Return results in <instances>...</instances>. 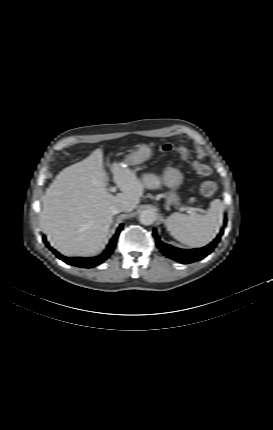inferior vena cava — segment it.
I'll use <instances>...</instances> for the list:
<instances>
[{"label":"inferior vena cava","instance_id":"inferior-vena-cava-1","mask_svg":"<svg viewBox=\"0 0 273 430\" xmlns=\"http://www.w3.org/2000/svg\"><path fill=\"white\" fill-rule=\"evenodd\" d=\"M110 210L114 215L126 211V206L122 203H116L110 207Z\"/></svg>","mask_w":273,"mask_h":430}]
</instances>
